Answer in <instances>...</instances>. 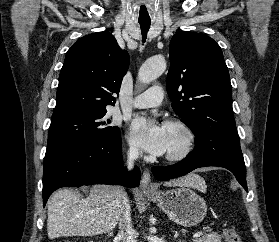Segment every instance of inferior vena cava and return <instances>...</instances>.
I'll return each mask as SVG.
<instances>
[{"mask_svg":"<svg viewBox=\"0 0 279 242\" xmlns=\"http://www.w3.org/2000/svg\"><path fill=\"white\" fill-rule=\"evenodd\" d=\"M139 156V152L137 149L132 148L128 153V169H131L134 164V160H136ZM119 237L122 242H137L136 241V231L134 230L131 222L130 216V204L127 198L126 193L123 195V203L119 216Z\"/></svg>","mask_w":279,"mask_h":242,"instance_id":"1","label":"inferior vena cava"}]
</instances>
